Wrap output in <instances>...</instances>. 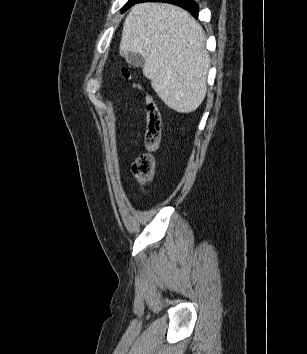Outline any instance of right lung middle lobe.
<instances>
[{"label": "right lung middle lobe", "instance_id": "dd1d6c3e", "mask_svg": "<svg viewBox=\"0 0 307 354\" xmlns=\"http://www.w3.org/2000/svg\"><path fill=\"white\" fill-rule=\"evenodd\" d=\"M137 2V0H129L125 6L122 8V11H125L126 9H128L129 7H131L132 5H134Z\"/></svg>", "mask_w": 307, "mask_h": 354}]
</instances>
